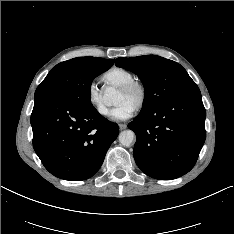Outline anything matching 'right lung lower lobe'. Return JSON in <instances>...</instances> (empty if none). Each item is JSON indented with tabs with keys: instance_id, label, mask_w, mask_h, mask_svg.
Wrapping results in <instances>:
<instances>
[{
	"instance_id": "right-lung-lower-lobe-1",
	"label": "right lung lower lobe",
	"mask_w": 234,
	"mask_h": 234,
	"mask_svg": "<svg viewBox=\"0 0 234 234\" xmlns=\"http://www.w3.org/2000/svg\"><path fill=\"white\" fill-rule=\"evenodd\" d=\"M33 147L45 168L71 181L92 177L119 134L118 125L62 96L35 98L31 114Z\"/></svg>"
}]
</instances>
